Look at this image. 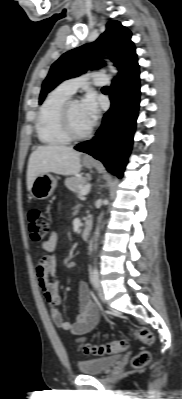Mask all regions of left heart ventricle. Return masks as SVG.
<instances>
[{
  "instance_id": "left-heart-ventricle-1",
  "label": "left heart ventricle",
  "mask_w": 182,
  "mask_h": 399,
  "mask_svg": "<svg viewBox=\"0 0 182 399\" xmlns=\"http://www.w3.org/2000/svg\"><path fill=\"white\" fill-rule=\"evenodd\" d=\"M70 119L73 130L78 134L86 132L91 127L83 116L81 105L77 101H73L70 106Z\"/></svg>"
}]
</instances>
